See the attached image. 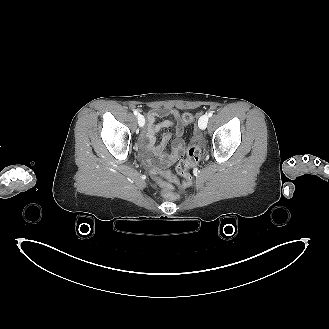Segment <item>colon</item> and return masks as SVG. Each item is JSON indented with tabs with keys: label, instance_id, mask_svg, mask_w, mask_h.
<instances>
[{
	"label": "colon",
	"instance_id": "1",
	"mask_svg": "<svg viewBox=\"0 0 329 329\" xmlns=\"http://www.w3.org/2000/svg\"><path fill=\"white\" fill-rule=\"evenodd\" d=\"M194 120V115L189 112L182 115V122L185 125L192 124ZM200 158L201 149L195 144H189L187 147V158L177 164L176 175L165 169H154L152 171L153 179L159 181L164 188L162 192L164 199H171L172 201L179 199V194L173 190L171 181L183 187L189 185L192 182L190 169L198 163Z\"/></svg>",
	"mask_w": 329,
	"mask_h": 329
}]
</instances>
